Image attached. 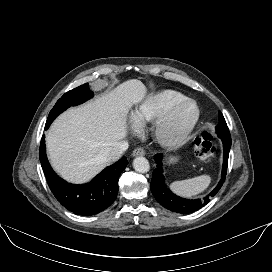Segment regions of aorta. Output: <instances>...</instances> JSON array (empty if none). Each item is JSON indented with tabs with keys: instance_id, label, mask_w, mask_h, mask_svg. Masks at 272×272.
<instances>
[{
	"instance_id": "aorta-1",
	"label": "aorta",
	"mask_w": 272,
	"mask_h": 272,
	"mask_svg": "<svg viewBox=\"0 0 272 272\" xmlns=\"http://www.w3.org/2000/svg\"><path fill=\"white\" fill-rule=\"evenodd\" d=\"M133 168L139 173H146L150 169V164L145 157H137L133 160Z\"/></svg>"
}]
</instances>
